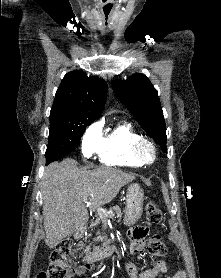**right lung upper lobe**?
Returning a JSON list of instances; mask_svg holds the SVG:
<instances>
[{
  "label": "right lung upper lobe",
  "mask_w": 221,
  "mask_h": 278,
  "mask_svg": "<svg viewBox=\"0 0 221 278\" xmlns=\"http://www.w3.org/2000/svg\"><path fill=\"white\" fill-rule=\"evenodd\" d=\"M107 89L104 80L88 77L82 71H71L65 75L56 92L50 116L85 118L92 123L103 110Z\"/></svg>",
  "instance_id": "obj_1"
}]
</instances>
